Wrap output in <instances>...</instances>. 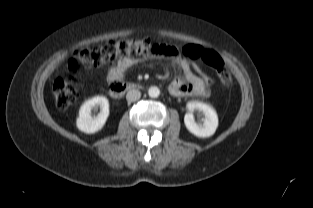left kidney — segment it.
Returning <instances> with one entry per match:
<instances>
[{
    "label": "left kidney",
    "instance_id": "5707ae66",
    "mask_svg": "<svg viewBox=\"0 0 313 208\" xmlns=\"http://www.w3.org/2000/svg\"><path fill=\"white\" fill-rule=\"evenodd\" d=\"M187 113L184 117L186 128L195 136L206 138L212 136L218 127V117L215 110L202 102L192 101L186 105ZM197 111L204 115L203 123L197 124L193 113Z\"/></svg>",
    "mask_w": 313,
    "mask_h": 208
}]
</instances>
